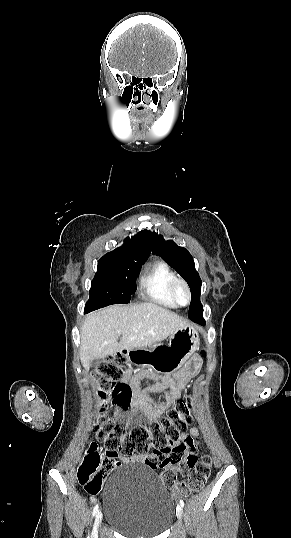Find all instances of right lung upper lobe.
Instances as JSON below:
<instances>
[{"instance_id":"obj_1","label":"right lung upper lobe","mask_w":291,"mask_h":538,"mask_svg":"<svg viewBox=\"0 0 291 538\" xmlns=\"http://www.w3.org/2000/svg\"><path fill=\"white\" fill-rule=\"evenodd\" d=\"M151 252L152 242L150 231L143 230L131 239L126 238L124 240V245L111 252H108L102 258L122 257L133 260L147 259Z\"/></svg>"}]
</instances>
